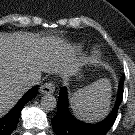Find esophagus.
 Here are the masks:
<instances>
[{"instance_id": "esophagus-1", "label": "esophagus", "mask_w": 135, "mask_h": 135, "mask_svg": "<svg viewBox=\"0 0 135 135\" xmlns=\"http://www.w3.org/2000/svg\"><path fill=\"white\" fill-rule=\"evenodd\" d=\"M40 93L52 94L55 91V85L52 82H47L40 87Z\"/></svg>"}]
</instances>
